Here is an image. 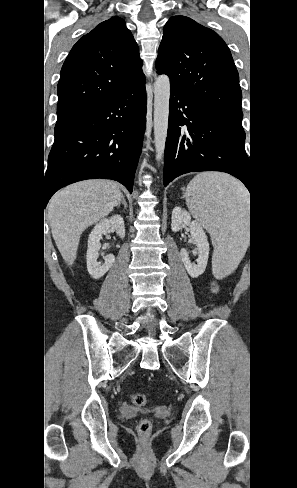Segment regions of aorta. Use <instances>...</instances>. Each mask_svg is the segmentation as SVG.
<instances>
[{"mask_svg": "<svg viewBox=\"0 0 297 488\" xmlns=\"http://www.w3.org/2000/svg\"><path fill=\"white\" fill-rule=\"evenodd\" d=\"M170 79L160 75L154 83V143L156 160L163 163L168 130Z\"/></svg>", "mask_w": 297, "mask_h": 488, "instance_id": "obj_1", "label": "aorta"}]
</instances>
